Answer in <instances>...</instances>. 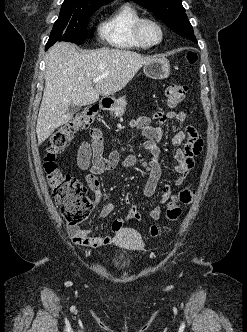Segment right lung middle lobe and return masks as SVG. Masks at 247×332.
Listing matches in <instances>:
<instances>
[{
    "instance_id": "right-lung-middle-lobe-1",
    "label": "right lung middle lobe",
    "mask_w": 247,
    "mask_h": 332,
    "mask_svg": "<svg viewBox=\"0 0 247 332\" xmlns=\"http://www.w3.org/2000/svg\"><path fill=\"white\" fill-rule=\"evenodd\" d=\"M103 5L64 1L47 44L53 45L56 41L83 44L90 17Z\"/></svg>"
}]
</instances>
